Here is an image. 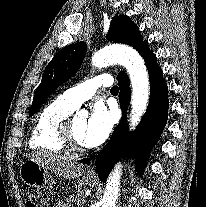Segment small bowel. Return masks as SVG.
<instances>
[{
  "mask_svg": "<svg viewBox=\"0 0 206 207\" xmlns=\"http://www.w3.org/2000/svg\"><path fill=\"white\" fill-rule=\"evenodd\" d=\"M55 207H67V206L63 203H58Z\"/></svg>",
  "mask_w": 206,
  "mask_h": 207,
  "instance_id": "c3829d8e",
  "label": "small bowel"
}]
</instances>
